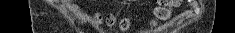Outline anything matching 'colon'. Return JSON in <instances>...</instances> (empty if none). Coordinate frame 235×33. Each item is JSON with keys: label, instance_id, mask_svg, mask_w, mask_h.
Listing matches in <instances>:
<instances>
[{"label": "colon", "instance_id": "5ec220e1", "mask_svg": "<svg viewBox=\"0 0 235 33\" xmlns=\"http://www.w3.org/2000/svg\"><path fill=\"white\" fill-rule=\"evenodd\" d=\"M179 4V0H162L160 1V5L155 10V19L153 20L154 24H157L158 22L165 21L170 18L171 15V7L177 6ZM95 21L97 23H102L103 17L101 15H97L95 17ZM107 24L110 26H113L116 24V20L112 16H107L106 18ZM120 29L126 30L129 26V23L127 20L123 19L118 23Z\"/></svg>", "mask_w": 235, "mask_h": 33}]
</instances>
